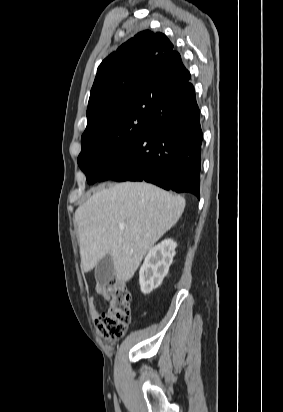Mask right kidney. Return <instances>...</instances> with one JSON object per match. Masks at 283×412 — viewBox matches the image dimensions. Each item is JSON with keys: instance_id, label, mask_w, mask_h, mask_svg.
I'll use <instances>...</instances> for the list:
<instances>
[{"instance_id": "1", "label": "right kidney", "mask_w": 283, "mask_h": 412, "mask_svg": "<svg viewBox=\"0 0 283 412\" xmlns=\"http://www.w3.org/2000/svg\"><path fill=\"white\" fill-rule=\"evenodd\" d=\"M176 247L177 243L172 239H165L149 250L139 271L143 294H149L162 283L173 262Z\"/></svg>"}]
</instances>
